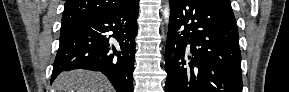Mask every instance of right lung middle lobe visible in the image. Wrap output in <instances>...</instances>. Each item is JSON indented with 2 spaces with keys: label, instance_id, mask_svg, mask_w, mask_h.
Wrapping results in <instances>:
<instances>
[{
  "label": "right lung middle lobe",
  "instance_id": "1",
  "mask_svg": "<svg viewBox=\"0 0 289 92\" xmlns=\"http://www.w3.org/2000/svg\"><path fill=\"white\" fill-rule=\"evenodd\" d=\"M71 28H72V26H61L60 35L65 34V33L68 32Z\"/></svg>",
  "mask_w": 289,
  "mask_h": 92
}]
</instances>
